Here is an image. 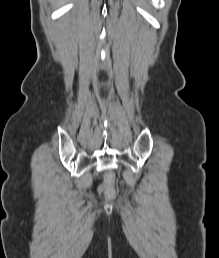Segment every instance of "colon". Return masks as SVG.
<instances>
[{"label":"colon","mask_w":219,"mask_h":258,"mask_svg":"<svg viewBox=\"0 0 219 258\" xmlns=\"http://www.w3.org/2000/svg\"><path fill=\"white\" fill-rule=\"evenodd\" d=\"M114 183L115 175L112 171H109L105 176V183L103 185V191L109 199H113L115 196Z\"/></svg>","instance_id":"obj_1"}]
</instances>
